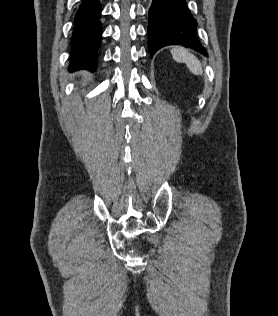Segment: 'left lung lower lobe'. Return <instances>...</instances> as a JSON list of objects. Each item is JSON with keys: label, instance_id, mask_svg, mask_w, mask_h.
<instances>
[{"label": "left lung lower lobe", "instance_id": "left-lung-lower-lobe-1", "mask_svg": "<svg viewBox=\"0 0 278 316\" xmlns=\"http://www.w3.org/2000/svg\"><path fill=\"white\" fill-rule=\"evenodd\" d=\"M196 28L185 0H153L147 30L151 56L167 45H182L207 55L196 37Z\"/></svg>", "mask_w": 278, "mask_h": 316}]
</instances>
